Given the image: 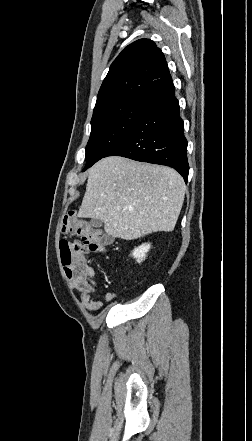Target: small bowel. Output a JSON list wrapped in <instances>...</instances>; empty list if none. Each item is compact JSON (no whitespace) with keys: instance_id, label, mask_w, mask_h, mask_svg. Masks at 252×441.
Here are the masks:
<instances>
[{"instance_id":"c3829d8e","label":"small bowel","mask_w":252,"mask_h":441,"mask_svg":"<svg viewBox=\"0 0 252 441\" xmlns=\"http://www.w3.org/2000/svg\"><path fill=\"white\" fill-rule=\"evenodd\" d=\"M87 253L85 254V256ZM95 270L93 267L86 264L85 277L82 281L72 282L74 288L80 293V299L85 308L90 312H96L101 309L103 303L96 297V294L100 291V287L95 281ZM106 301H112L115 295L111 292H107L104 295Z\"/></svg>"}]
</instances>
